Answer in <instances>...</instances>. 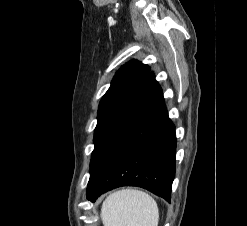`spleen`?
<instances>
[{
    "label": "spleen",
    "instance_id": "1",
    "mask_svg": "<svg viewBox=\"0 0 247 226\" xmlns=\"http://www.w3.org/2000/svg\"><path fill=\"white\" fill-rule=\"evenodd\" d=\"M101 219L104 226H158L159 210L147 193L125 189L105 199Z\"/></svg>",
    "mask_w": 247,
    "mask_h": 226
}]
</instances>
